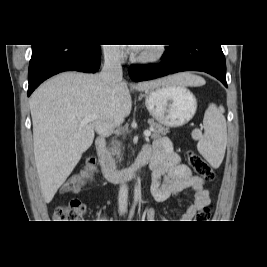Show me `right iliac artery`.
Returning <instances> with one entry per match:
<instances>
[{"label": "right iliac artery", "instance_id": "right-iliac-artery-1", "mask_svg": "<svg viewBox=\"0 0 267 267\" xmlns=\"http://www.w3.org/2000/svg\"><path fill=\"white\" fill-rule=\"evenodd\" d=\"M134 210H135V205L132 206L130 214H129V218H132L133 214H134Z\"/></svg>", "mask_w": 267, "mask_h": 267}]
</instances>
